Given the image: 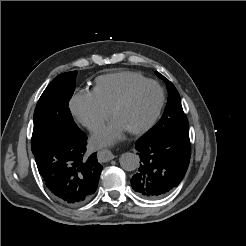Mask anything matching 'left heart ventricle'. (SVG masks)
Returning <instances> with one entry per match:
<instances>
[{
	"label": "left heart ventricle",
	"instance_id": "obj_1",
	"mask_svg": "<svg viewBox=\"0 0 246 246\" xmlns=\"http://www.w3.org/2000/svg\"><path fill=\"white\" fill-rule=\"evenodd\" d=\"M159 101V91L154 85L137 90L115 115L126 130L144 125L153 115Z\"/></svg>",
	"mask_w": 246,
	"mask_h": 246
}]
</instances>
